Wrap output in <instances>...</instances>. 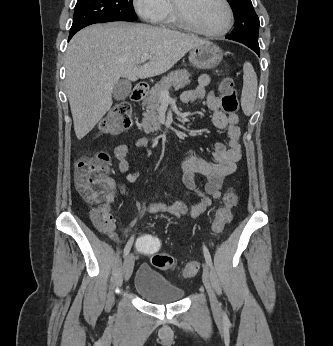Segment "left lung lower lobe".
I'll list each match as a JSON object with an SVG mask.
<instances>
[{"label":"left lung lower lobe","mask_w":333,"mask_h":346,"mask_svg":"<svg viewBox=\"0 0 333 346\" xmlns=\"http://www.w3.org/2000/svg\"><path fill=\"white\" fill-rule=\"evenodd\" d=\"M248 47L251 48L252 50H254L260 56L259 45L250 44V45H248Z\"/></svg>","instance_id":"left-lung-lower-lobe-1"}]
</instances>
